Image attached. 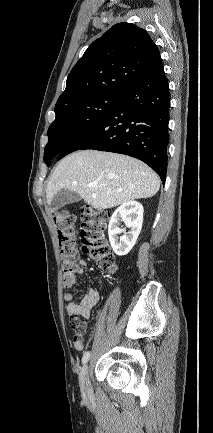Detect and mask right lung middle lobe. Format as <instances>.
Listing matches in <instances>:
<instances>
[{"mask_svg": "<svg viewBox=\"0 0 213 433\" xmlns=\"http://www.w3.org/2000/svg\"><path fill=\"white\" fill-rule=\"evenodd\" d=\"M121 95L99 94L55 110V120L48 129L49 141L44 150L47 166L73 141L97 125L116 106Z\"/></svg>", "mask_w": 213, "mask_h": 433, "instance_id": "dd1d6c3e", "label": "right lung middle lobe"}]
</instances>
